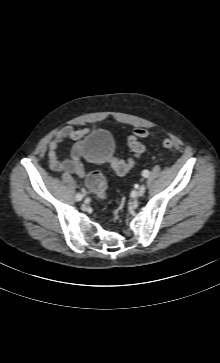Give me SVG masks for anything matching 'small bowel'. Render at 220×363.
I'll use <instances>...</instances> for the list:
<instances>
[{
  "label": "small bowel",
  "instance_id": "1",
  "mask_svg": "<svg viewBox=\"0 0 220 363\" xmlns=\"http://www.w3.org/2000/svg\"><path fill=\"white\" fill-rule=\"evenodd\" d=\"M88 132V129H75L72 126H65L57 130L51 137L48 144V165L54 172H67L79 177L85 176V170L81 163V144L78 143L67 158H59L57 149L65 140L80 141Z\"/></svg>",
  "mask_w": 220,
  "mask_h": 363
}]
</instances>
